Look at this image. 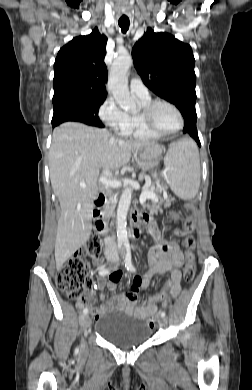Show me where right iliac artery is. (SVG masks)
Wrapping results in <instances>:
<instances>
[{
    "instance_id": "right-iliac-artery-1",
    "label": "right iliac artery",
    "mask_w": 252,
    "mask_h": 390,
    "mask_svg": "<svg viewBox=\"0 0 252 390\" xmlns=\"http://www.w3.org/2000/svg\"><path fill=\"white\" fill-rule=\"evenodd\" d=\"M121 248H122V245H118V249L121 250ZM108 273H109V269H106V268H102L99 271V275H102V276H105ZM87 313H88V309L87 308L83 309V314H87Z\"/></svg>"
}]
</instances>
